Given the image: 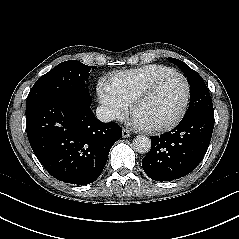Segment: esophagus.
Segmentation results:
<instances>
[{"mask_svg":"<svg viewBox=\"0 0 239 239\" xmlns=\"http://www.w3.org/2000/svg\"><path fill=\"white\" fill-rule=\"evenodd\" d=\"M130 135H131V133H130L129 130H127V129L122 130V137L123 138H128V137H130Z\"/></svg>","mask_w":239,"mask_h":239,"instance_id":"1","label":"esophagus"}]
</instances>
